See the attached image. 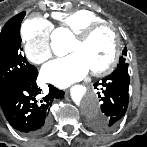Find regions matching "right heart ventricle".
Here are the masks:
<instances>
[{
  "mask_svg": "<svg viewBox=\"0 0 147 147\" xmlns=\"http://www.w3.org/2000/svg\"><path fill=\"white\" fill-rule=\"evenodd\" d=\"M53 17L59 21L62 28L68 30L73 35H77L88 27L105 22V20L89 9H78L71 12H57Z\"/></svg>",
  "mask_w": 147,
  "mask_h": 147,
  "instance_id": "right-heart-ventricle-1",
  "label": "right heart ventricle"
}]
</instances>
